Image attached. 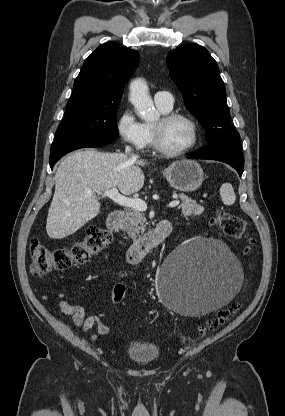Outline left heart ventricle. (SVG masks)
Returning <instances> with one entry per match:
<instances>
[{"label": "left heart ventricle", "instance_id": "left-heart-ventricle-1", "mask_svg": "<svg viewBox=\"0 0 285 416\" xmlns=\"http://www.w3.org/2000/svg\"><path fill=\"white\" fill-rule=\"evenodd\" d=\"M152 125L159 127L161 142L170 150L178 151L186 148L191 143V127L182 119H175L169 123L161 124L160 118H158Z\"/></svg>", "mask_w": 285, "mask_h": 416}]
</instances>
